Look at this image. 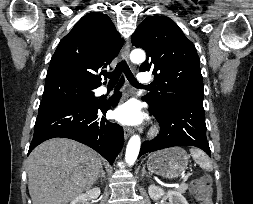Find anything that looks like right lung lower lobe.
<instances>
[{"instance_id":"right-lung-lower-lobe-1","label":"right lung lower lobe","mask_w":253,"mask_h":204,"mask_svg":"<svg viewBox=\"0 0 253 204\" xmlns=\"http://www.w3.org/2000/svg\"><path fill=\"white\" fill-rule=\"evenodd\" d=\"M122 83L123 78L118 88ZM118 99L119 95L111 97L109 102L97 101L91 105L75 102L40 104L28 154L45 140L64 137L93 148L113 164L124 143L123 128L108 121L105 114L110 105H117Z\"/></svg>"}]
</instances>
